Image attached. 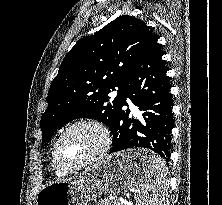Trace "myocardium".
I'll list each match as a JSON object with an SVG mask.
<instances>
[{
  "mask_svg": "<svg viewBox=\"0 0 222 205\" xmlns=\"http://www.w3.org/2000/svg\"><path fill=\"white\" fill-rule=\"evenodd\" d=\"M80 126H88L96 129L101 137H102V143L100 148L95 152L93 155L85 159L84 161L73 165V166H66L61 163V161L58 158V147L62 139L73 129L80 127ZM111 145V134L108 128L100 121L94 120V119H80L69 126H67L61 134L56 139L53 149H52V161L53 163L63 172L65 173H71L83 168H86L99 160H101L108 152Z\"/></svg>",
  "mask_w": 222,
  "mask_h": 205,
  "instance_id": "obj_1",
  "label": "myocardium"
}]
</instances>
